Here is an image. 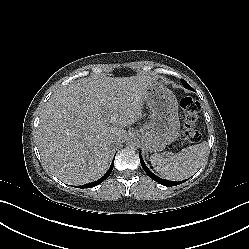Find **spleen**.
<instances>
[{
  "label": "spleen",
  "instance_id": "1",
  "mask_svg": "<svg viewBox=\"0 0 249 249\" xmlns=\"http://www.w3.org/2000/svg\"><path fill=\"white\" fill-rule=\"evenodd\" d=\"M208 157L207 142L182 149L178 153L158 154L150 156L156 172L169 180H180L197 170Z\"/></svg>",
  "mask_w": 249,
  "mask_h": 249
}]
</instances>
